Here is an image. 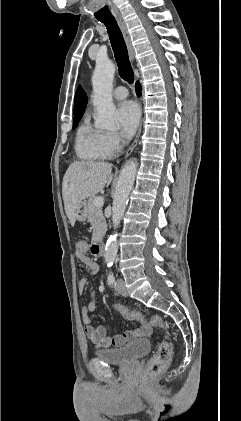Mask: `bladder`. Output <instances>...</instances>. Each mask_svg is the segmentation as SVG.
<instances>
[{
  "mask_svg": "<svg viewBox=\"0 0 241 421\" xmlns=\"http://www.w3.org/2000/svg\"><path fill=\"white\" fill-rule=\"evenodd\" d=\"M150 347L148 339H139L121 348L98 350L95 356L108 364L123 366L142 357L150 350Z\"/></svg>",
  "mask_w": 241,
  "mask_h": 421,
  "instance_id": "obj_1",
  "label": "bladder"
}]
</instances>
